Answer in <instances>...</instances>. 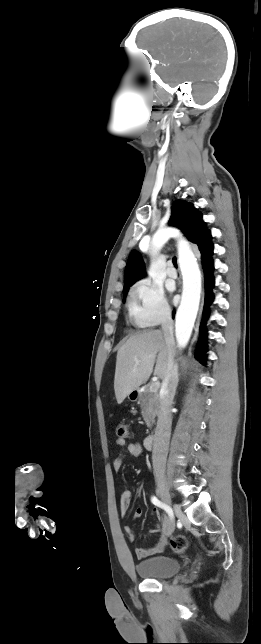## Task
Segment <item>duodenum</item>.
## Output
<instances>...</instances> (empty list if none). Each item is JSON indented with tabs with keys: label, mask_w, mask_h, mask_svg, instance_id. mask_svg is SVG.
I'll return each instance as SVG.
<instances>
[{
	"label": "duodenum",
	"mask_w": 261,
	"mask_h": 644,
	"mask_svg": "<svg viewBox=\"0 0 261 644\" xmlns=\"http://www.w3.org/2000/svg\"><path fill=\"white\" fill-rule=\"evenodd\" d=\"M155 443V436L154 435H148L144 439V447L148 450L152 449L154 447Z\"/></svg>",
	"instance_id": "obj_1"
}]
</instances>
